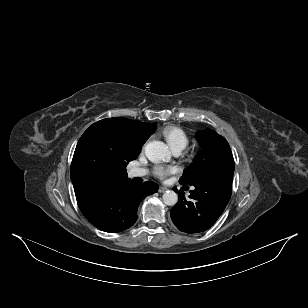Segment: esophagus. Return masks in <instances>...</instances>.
I'll list each match as a JSON object with an SVG mask.
<instances>
[{
  "mask_svg": "<svg viewBox=\"0 0 308 308\" xmlns=\"http://www.w3.org/2000/svg\"><path fill=\"white\" fill-rule=\"evenodd\" d=\"M158 191H159L160 193H164V192L167 191V188H166V187H163V186H159Z\"/></svg>",
  "mask_w": 308,
  "mask_h": 308,
  "instance_id": "obj_1",
  "label": "esophagus"
}]
</instances>
